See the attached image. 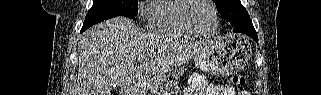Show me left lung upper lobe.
<instances>
[{"mask_svg": "<svg viewBox=\"0 0 321 95\" xmlns=\"http://www.w3.org/2000/svg\"><path fill=\"white\" fill-rule=\"evenodd\" d=\"M213 2L216 4L221 16L232 28L239 23L251 21L240 0H213Z\"/></svg>", "mask_w": 321, "mask_h": 95, "instance_id": "5c2ea615", "label": "left lung upper lobe"}]
</instances>
